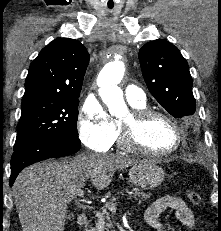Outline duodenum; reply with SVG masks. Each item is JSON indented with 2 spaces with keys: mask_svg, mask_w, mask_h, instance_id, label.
Listing matches in <instances>:
<instances>
[{
  "mask_svg": "<svg viewBox=\"0 0 221 231\" xmlns=\"http://www.w3.org/2000/svg\"><path fill=\"white\" fill-rule=\"evenodd\" d=\"M77 222L79 225H86L88 223V216L84 213L79 214L77 217Z\"/></svg>",
  "mask_w": 221,
  "mask_h": 231,
  "instance_id": "410a0bca",
  "label": "duodenum"
}]
</instances>
